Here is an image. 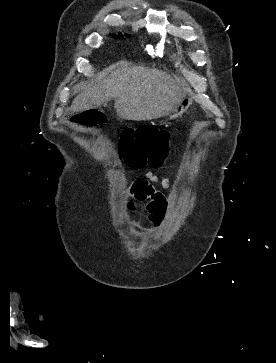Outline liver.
Masks as SVG:
<instances>
[{"label": "liver", "mask_w": 276, "mask_h": 363, "mask_svg": "<svg viewBox=\"0 0 276 363\" xmlns=\"http://www.w3.org/2000/svg\"><path fill=\"white\" fill-rule=\"evenodd\" d=\"M183 97L180 86L165 72L121 64L97 85H83L71 110L97 108L116 99L115 109L121 119L151 120L170 113Z\"/></svg>", "instance_id": "obj_1"}]
</instances>
